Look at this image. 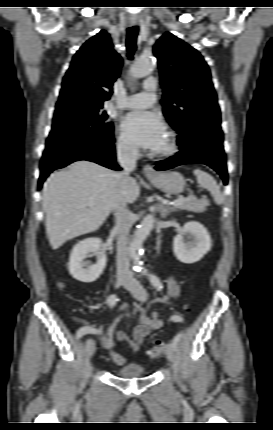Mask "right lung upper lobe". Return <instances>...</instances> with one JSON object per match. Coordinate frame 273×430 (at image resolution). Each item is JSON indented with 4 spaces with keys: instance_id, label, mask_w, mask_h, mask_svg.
Returning a JSON list of instances; mask_svg holds the SVG:
<instances>
[{
    "instance_id": "obj_1",
    "label": "right lung upper lobe",
    "mask_w": 273,
    "mask_h": 430,
    "mask_svg": "<svg viewBox=\"0 0 273 430\" xmlns=\"http://www.w3.org/2000/svg\"><path fill=\"white\" fill-rule=\"evenodd\" d=\"M121 66V57L114 51L109 34L100 31L74 55L63 78L56 108L76 101L103 106L110 98Z\"/></svg>"
}]
</instances>
